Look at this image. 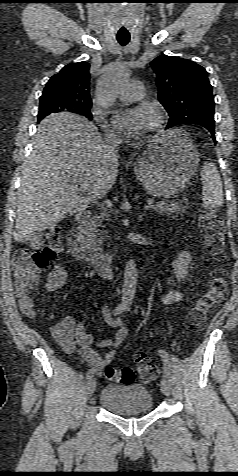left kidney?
I'll return each mask as SVG.
<instances>
[{"instance_id":"left-kidney-1","label":"left kidney","mask_w":238,"mask_h":476,"mask_svg":"<svg viewBox=\"0 0 238 476\" xmlns=\"http://www.w3.org/2000/svg\"><path fill=\"white\" fill-rule=\"evenodd\" d=\"M191 262V255L189 252L185 251L179 254L172 263V268L176 278L184 280L188 274L189 264Z\"/></svg>"}]
</instances>
